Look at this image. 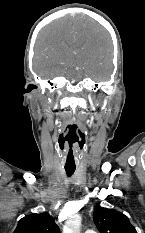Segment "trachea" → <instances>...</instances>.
Segmentation results:
<instances>
[{
	"label": "trachea",
	"mask_w": 145,
	"mask_h": 233,
	"mask_svg": "<svg viewBox=\"0 0 145 233\" xmlns=\"http://www.w3.org/2000/svg\"><path fill=\"white\" fill-rule=\"evenodd\" d=\"M65 171L68 176H71L75 172V167H72V168L65 167Z\"/></svg>",
	"instance_id": "1"
}]
</instances>
